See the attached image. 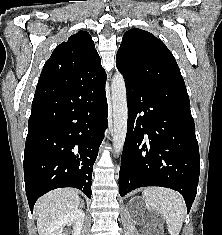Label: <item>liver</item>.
Listing matches in <instances>:
<instances>
[{
	"instance_id": "liver-1",
	"label": "liver",
	"mask_w": 222,
	"mask_h": 235,
	"mask_svg": "<svg viewBox=\"0 0 222 235\" xmlns=\"http://www.w3.org/2000/svg\"><path fill=\"white\" fill-rule=\"evenodd\" d=\"M80 198L73 189H57L42 196L35 205L39 235H46L47 229L58 218L78 209Z\"/></svg>"
}]
</instances>
